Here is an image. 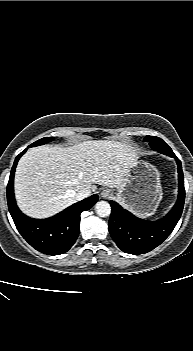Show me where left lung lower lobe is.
I'll return each mask as SVG.
<instances>
[{"instance_id": "obj_1", "label": "left lung lower lobe", "mask_w": 193, "mask_h": 351, "mask_svg": "<svg viewBox=\"0 0 193 351\" xmlns=\"http://www.w3.org/2000/svg\"><path fill=\"white\" fill-rule=\"evenodd\" d=\"M178 166L179 194L170 212L158 221H145L123 209L118 203L110 201L111 216L109 232L117 246L128 254H144L159 246L173 231L181 217L184 200V177L180 160L175 154Z\"/></svg>"}]
</instances>
